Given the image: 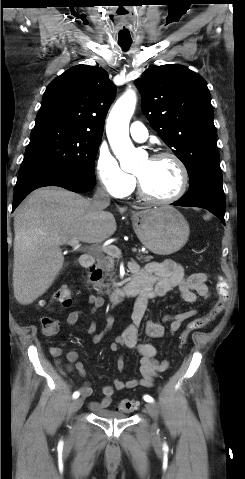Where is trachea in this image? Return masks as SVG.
<instances>
[{"label": "trachea", "instance_id": "obj_1", "mask_svg": "<svg viewBox=\"0 0 245 479\" xmlns=\"http://www.w3.org/2000/svg\"><path fill=\"white\" fill-rule=\"evenodd\" d=\"M131 43L132 41H118V44L124 51H127L129 49V47L131 46Z\"/></svg>", "mask_w": 245, "mask_h": 479}]
</instances>
